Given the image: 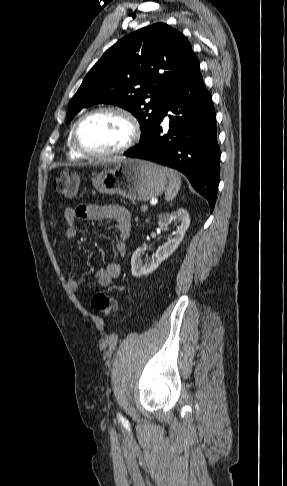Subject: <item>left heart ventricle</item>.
Wrapping results in <instances>:
<instances>
[{"mask_svg": "<svg viewBox=\"0 0 287 486\" xmlns=\"http://www.w3.org/2000/svg\"><path fill=\"white\" fill-rule=\"evenodd\" d=\"M130 134L127 121L114 113H102L87 119L80 129L82 145L93 152H105L123 145Z\"/></svg>", "mask_w": 287, "mask_h": 486, "instance_id": "1", "label": "left heart ventricle"}]
</instances>
